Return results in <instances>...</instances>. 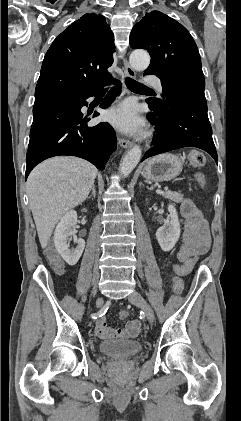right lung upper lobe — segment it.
I'll return each instance as SVG.
<instances>
[{"label": "right lung upper lobe", "instance_id": "obj_1", "mask_svg": "<svg viewBox=\"0 0 241 421\" xmlns=\"http://www.w3.org/2000/svg\"><path fill=\"white\" fill-rule=\"evenodd\" d=\"M114 36L102 15L85 14L53 41L41 67L35 102L86 91L110 78Z\"/></svg>", "mask_w": 241, "mask_h": 421}]
</instances>
